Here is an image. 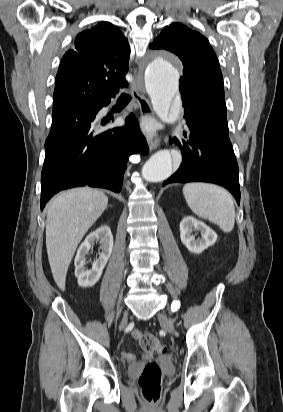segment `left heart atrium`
Masks as SVG:
<instances>
[{
    "label": "left heart atrium",
    "instance_id": "obj_1",
    "mask_svg": "<svg viewBox=\"0 0 283 412\" xmlns=\"http://www.w3.org/2000/svg\"><path fill=\"white\" fill-rule=\"evenodd\" d=\"M141 129H142V131H143L144 133L149 134V133H151L152 130H153V125H152V123H151L150 121L145 120V121H143L142 124H141Z\"/></svg>",
    "mask_w": 283,
    "mask_h": 412
}]
</instances>
